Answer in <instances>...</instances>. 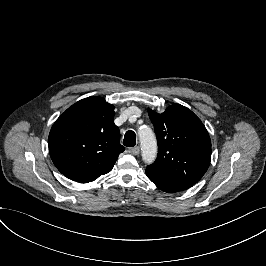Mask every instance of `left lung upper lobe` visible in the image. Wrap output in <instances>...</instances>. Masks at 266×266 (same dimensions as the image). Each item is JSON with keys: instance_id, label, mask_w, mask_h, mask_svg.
Here are the masks:
<instances>
[{"instance_id": "obj_1", "label": "left lung upper lobe", "mask_w": 266, "mask_h": 266, "mask_svg": "<svg viewBox=\"0 0 266 266\" xmlns=\"http://www.w3.org/2000/svg\"><path fill=\"white\" fill-rule=\"evenodd\" d=\"M158 155L146 172L187 188L207 171L211 159L209 134L200 119L182 105H171L158 114L149 110Z\"/></svg>"}]
</instances>
